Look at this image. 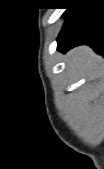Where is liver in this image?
I'll return each instance as SVG.
<instances>
[{"label":"liver","mask_w":104,"mask_h":169,"mask_svg":"<svg viewBox=\"0 0 104 169\" xmlns=\"http://www.w3.org/2000/svg\"><path fill=\"white\" fill-rule=\"evenodd\" d=\"M67 67L78 75L93 78L97 75L101 58L88 46H79L66 54Z\"/></svg>","instance_id":"6515ba94"}]
</instances>
